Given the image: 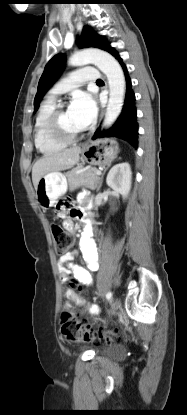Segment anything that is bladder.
<instances>
[{"mask_svg":"<svg viewBox=\"0 0 187 415\" xmlns=\"http://www.w3.org/2000/svg\"><path fill=\"white\" fill-rule=\"evenodd\" d=\"M102 354L111 358H119L123 356L124 350L119 344H110L103 349Z\"/></svg>","mask_w":187,"mask_h":415,"instance_id":"bladder-1","label":"bladder"}]
</instances>
